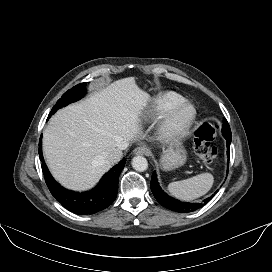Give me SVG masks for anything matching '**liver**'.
Segmentation results:
<instances>
[{
  "label": "liver",
  "mask_w": 272,
  "mask_h": 272,
  "mask_svg": "<svg viewBox=\"0 0 272 272\" xmlns=\"http://www.w3.org/2000/svg\"><path fill=\"white\" fill-rule=\"evenodd\" d=\"M149 99L128 77L59 110L43 133L44 157L55 179L74 190L92 188L113 165L103 154L140 138Z\"/></svg>",
  "instance_id": "liver-1"
}]
</instances>
